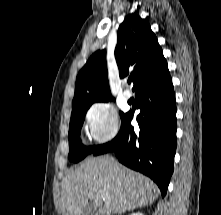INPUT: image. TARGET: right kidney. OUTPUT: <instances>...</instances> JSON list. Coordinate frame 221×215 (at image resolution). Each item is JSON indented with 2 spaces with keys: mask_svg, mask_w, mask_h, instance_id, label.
I'll return each mask as SVG.
<instances>
[{
  "mask_svg": "<svg viewBox=\"0 0 221 215\" xmlns=\"http://www.w3.org/2000/svg\"><path fill=\"white\" fill-rule=\"evenodd\" d=\"M130 215H144L143 213L137 212V213H132Z\"/></svg>",
  "mask_w": 221,
  "mask_h": 215,
  "instance_id": "right-kidney-1",
  "label": "right kidney"
}]
</instances>
